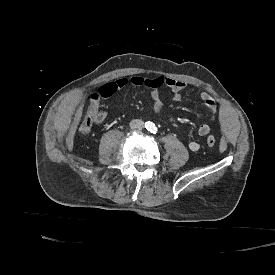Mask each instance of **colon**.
Returning a JSON list of instances; mask_svg holds the SVG:
<instances>
[{"mask_svg":"<svg viewBox=\"0 0 275 275\" xmlns=\"http://www.w3.org/2000/svg\"><path fill=\"white\" fill-rule=\"evenodd\" d=\"M104 116L103 111L101 110V106L99 105L96 98H92L90 100V104L88 107V111L85 114L83 121L80 125V130L82 132H89L92 129L93 123L95 120H100ZM216 140L213 136H209L207 138V144L209 146H213Z\"/></svg>","mask_w":275,"mask_h":275,"instance_id":"obj_1","label":"colon"}]
</instances>
